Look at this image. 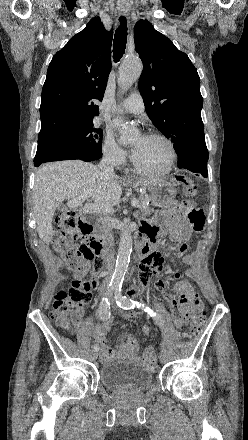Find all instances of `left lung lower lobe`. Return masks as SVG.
I'll use <instances>...</instances> for the list:
<instances>
[{
    "label": "left lung lower lobe",
    "mask_w": 248,
    "mask_h": 440,
    "mask_svg": "<svg viewBox=\"0 0 248 440\" xmlns=\"http://www.w3.org/2000/svg\"><path fill=\"white\" fill-rule=\"evenodd\" d=\"M180 169H186L194 173H199L203 177H208L207 161H201L191 165H178Z\"/></svg>",
    "instance_id": "obj_1"
}]
</instances>
